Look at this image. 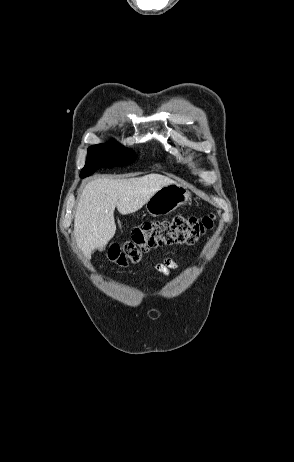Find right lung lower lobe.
Wrapping results in <instances>:
<instances>
[{
    "mask_svg": "<svg viewBox=\"0 0 294 462\" xmlns=\"http://www.w3.org/2000/svg\"><path fill=\"white\" fill-rule=\"evenodd\" d=\"M120 166L119 162L103 153H97L96 155L92 156L88 160V172L85 174L80 175L81 178H85L95 172V170L101 167H115Z\"/></svg>",
    "mask_w": 294,
    "mask_h": 462,
    "instance_id": "right-lung-lower-lobe-1",
    "label": "right lung lower lobe"
}]
</instances>
